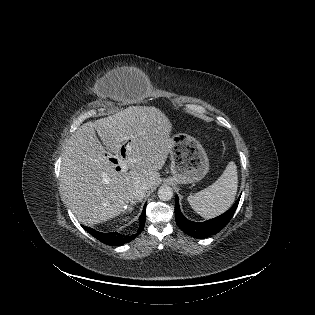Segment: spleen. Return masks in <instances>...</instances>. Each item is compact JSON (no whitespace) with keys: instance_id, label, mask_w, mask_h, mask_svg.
<instances>
[{"instance_id":"obj_1","label":"spleen","mask_w":315,"mask_h":315,"mask_svg":"<svg viewBox=\"0 0 315 315\" xmlns=\"http://www.w3.org/2000/svg\"><path fill=\"white\" fill-rule=\"evenodd\" d=\"M237 188V166L231 161L212 185L195 195L188 196V202L196 213L203 218L210 219L224 213L231 207L235 200Z\"/></svg>"}]
</instances>
